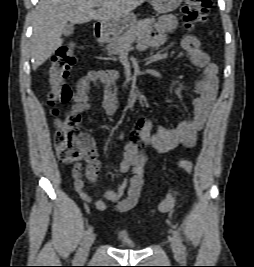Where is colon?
Segmentation results:
<instances>
[{
  "label": "colon",
  "instance_id": "colon-1",
  "mask_svg": "<svg viewBox=\"0 0 254 267\" xmlns=\"http://www.w3.org/2000/svg\"><path fill=\"white\" fill-rule=\"evenodd\" d=\"M211 7V0H185L182 6V15L188 27L196 23L205 22ZM76 62L74 45L67 44L59 47L52 57L48 68V81L50 92L48 103L52 106V113L57 117L55 120L56 131L54 145L58 159L66 164L79 161H94L97 153L92 139L80 130L81 118L79 115H69L59 118V104L67 103L71 98V89L66 83L71 68ZM177 166L190 173L193 164L187 159H180ZM176 201V193L170 190L158 204L157 211L166 213L170 211Z\"/></svg>",
  "mask_w": 254,
  "mask_h": 267
}]
</instances>
